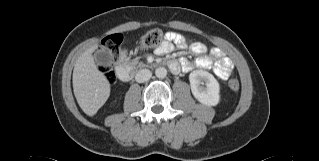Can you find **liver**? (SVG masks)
<instances>
[{
  "label": "liver",
  "mask_w": 319,
  "mask_h": 161,
  "mask_svg": "<svg viewBox=\"0 0 319 161\" xmlns=\"http://www.w3.org/2000/svg\"><path fill=\"white\" fill-rule=\"evenodd\" d=\"M98 45L81 54L73 70V91L76 100L89 116H93L104 105L110 95V83L94 62L93 52Z\"/></svg>",
  "instance_id": "1"
}]
</instances>
